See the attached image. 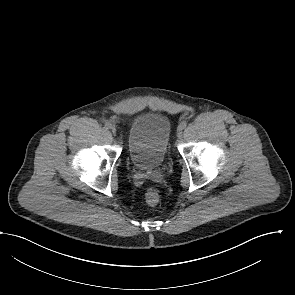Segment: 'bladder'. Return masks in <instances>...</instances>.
<instances>
[{
  "instance_id": "31cf9c89",
  "label": "bladder",
  "mask_w": 295,
  "mask_h": 295,
  "mask_svg": "<svg viewBox=\"0 0 295 295\" xmlns=\"http://www.w3.org/2000/svg\"><path fill=\"white\" fill-rule=\"evenodd\" d=\"M171 124L158 111H145L130 124L126 147L129 158L138 169L159 167L165 160L170 144Z\"/></svg>"
}]
</instances>
